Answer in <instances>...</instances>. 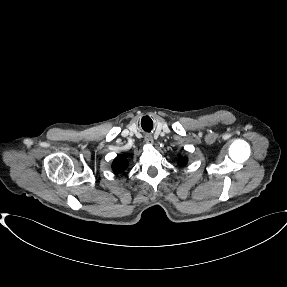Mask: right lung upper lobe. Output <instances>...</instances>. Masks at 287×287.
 I'll return each instance as SVG.
<instances>
[{
	"instance_id": "right-lung-upper-lobe-1",
	"label": "right lung upper lobe",
	"mask_w": 287,
	"mask_h": 287,
	"mask_svg": "<svg viewBox=\"0 0 287 287\" xmlns=\"http://www.w3.org/2000/svg\"><path fill=\"white\" fill-rule=\"evenodd\" d=\"M128 167V161L127 159L122 156V155H118L113 163H112V169L115 173H118V172H122L124 171L126 168Z\"/></svg>"
}]
</instances>
